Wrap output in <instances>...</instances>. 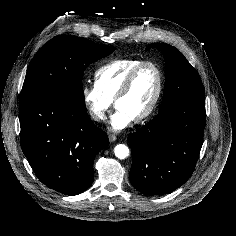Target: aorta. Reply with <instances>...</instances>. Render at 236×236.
<instances>
[{
  "label": "aorta",
  "instance_id": "aorta-1",
  "mask_svg": "<svg viewBox=\"0 0 236 236\" xmlns=\"http://www.w3.org/2000/svg\"><path fill=\"white\" fill-rule=\"evenodd\" d=\"M115 156L119 159H125L129 155V148L124 144H119L114 149Z\"/></svg>",
  "mask_w": 236,
  "mask_h": 236
}]
</instances>
